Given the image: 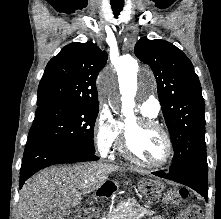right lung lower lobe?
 <instances>
[{
	"label": "right lung lower lobe",
	"mask_w": 221,
	"mask_h": 219,
	"mask_svg": "<svg viewBox=\"0 0 221 219\" xmlns=\"http://www.w3.org/2000/svg\"><path fill=\"white\" fill-rule=\"evenodd\" d=\"M95 160H98V157L94 153L77 150L43 137L30 138L25 147L20 169L19 188L31 175L45 167Z\"/></svg>",
	"instance_id": "right-lung-lower-lobe-1"
}]
</instances>
